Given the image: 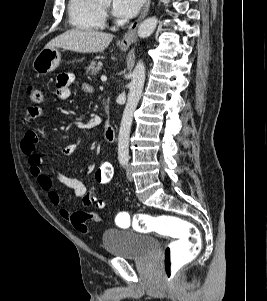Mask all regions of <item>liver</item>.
<instances>
[{
	"label": "liver",
	"instance_id": "6515ba94",
	"mask_svg": "<svg viewBox=\"0 0 267 301\" xmlns=\"http://www.w3.org/2000/svg\"><path fill=\"white\" fill-rule=\"evenodd\" d=\"M113 39L112 34L71 29L55 37L45 48H63L79 53H97L105 50Z\"/></svg>",
	"mask_w": 267,
	"mask_h": 301
}]
</instances>
